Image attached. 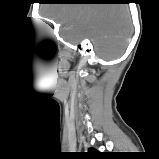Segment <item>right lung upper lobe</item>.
I'll list each match as a JSON object with an SVG mask.
<instances>
[{
	"label": "right lung upper lobe",
	"instance_id": "right-lung-upper-lobe-1",
	"mask_svg": "<svg viewBox=\"0 0 159 159\" xmlns=\"http://www.w3.org/2000/svg\"><path fill=\"white\" fill-rule=\"evenodd\" d=\"M89 151H94L93 149H90Z\"/></svg>",
	"mask_w": 159,
	"mask_h": 159
}]
</instances>
